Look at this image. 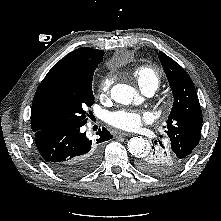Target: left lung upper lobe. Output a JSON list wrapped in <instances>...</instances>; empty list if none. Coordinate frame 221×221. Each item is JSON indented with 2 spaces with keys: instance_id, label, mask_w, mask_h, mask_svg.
Returning a JSON list of instances; mask_svg holds the SVG:
<instances>
[{
  "instance_id": "left-lung-upper-lobe-1",
  "label": "left lung upper lobe",
  "mask_w": 221,
  "mask_h": 221,
  "mask_svg": "<svg viewBox=\"0 0 221 221\" xmlns=\"http://www.w3.org/2000/svg\"><path fill=\"white\" fill-rule=\"evenodd\" d=\"M158 57L174 95L165 133L174 153L187 161L201 135L203 119L198 96L191 78L177 62L161 51Z\"/></svg>"
}]
</instances>
